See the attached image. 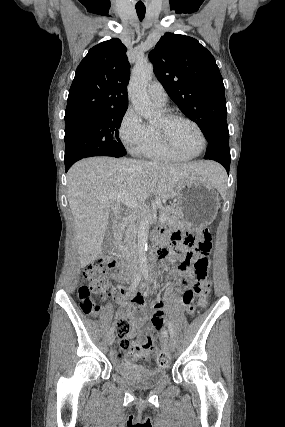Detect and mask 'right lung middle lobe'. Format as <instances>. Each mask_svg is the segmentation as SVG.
Listing matches in <instances>:
<instances>
[{
  "instance_id": "dd1d6c3e",
  "label": "right lung middle lobe",
  "mask_w": 285,
  "mask_h": 427,
  "mask_svg": "<svg viewBox=\"0 0 285 427\" xmlns=\"http://www.w3.org/2000/svg\"><path fill=\"white\" fill-rule=\"evenodd\" d=\"M127 109H112L65 120V166L92 156L121 157L119 128Z\"/></svg>"
}]
</instances>
